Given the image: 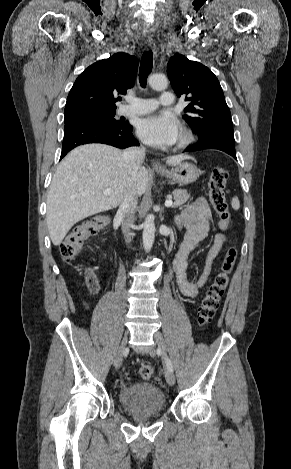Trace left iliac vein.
<instances>
[{
    "mask_svg": "<svg viewBox=\"0 0 291 469\" xmlns=\"http://www.w3.org/2000/svg\"><path fill=\"white\" fill-rule=\"evenodd\" d=\"M154 339H155V341L158 345V348H159L161 354L164 356L165 352H166V345H165V342H164V339H163V336H162L161 332H159V331L155 332ZM154 353L155 352L152 350L151 354H154ZM165 378H166V381L169 385H171V386L174 385L175 375H174L173 371L169 368L168 364L165 367Z\"/></svg>",
    "mask_w": 291,
    "mask_h": 469,
    "instance_id": "1",
    "label": "left iliac vein"
}]
</instances>
